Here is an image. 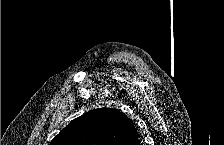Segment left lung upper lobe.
Instances as JSON below:
<instances>
[{
	"instance_id": "left-lung-upper-lobe-1",
	"label": "left lung upper lobe",
	"mask_w": 224,
	"mask_h": 145,
	"mask_svg": "<svg viewBox=\"0 0 224 145\" xmlns=\"http://www.w3.org/2000/svg\"><path fill=\"white\" fill-rule=\"evenodd\" d=\"M50 145H139L138 132L122 112L91 110L70 122Z\"/></svg>"
}]
</instances>
